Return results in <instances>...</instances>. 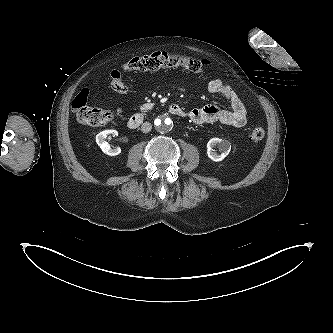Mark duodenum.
<instances>
[{
	"mask_svg": "<svg viewBox=\"0 0 333 333\" xmlns=\"http://www.w3.org/2000/svg\"><path fill=\"white\" fill-rule=\"evenodd\" d=\"M169 113L176 115V116H185L186 112L184 109L178 104H171L168 108ZM144 121V116L140 113L133 114L128 119V127L130 129L138 128Z\"/></svg>",
	"mask_w": 333,
	"mask_h": 333,
	"instance_id": "obj_1",
	"label": "duodenum"
}]
</instances>
